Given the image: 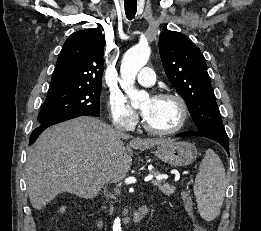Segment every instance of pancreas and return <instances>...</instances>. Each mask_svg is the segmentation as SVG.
<instances>
[{
	"instance_id": "1",
	"label": "pancreas",
	"mask_w": 261,
	"mask_h": 231,
	"mask_svg": "<svg viewBox=\"0 0 261 231\" xmlns=\"http://www.w3.org/2000/svg\"><path fill=\"white\" fill-rule=\"evenodd\" d=\"M151 173L154 175L160 174L158 171H152ZM155 185L158 186L159 190L166 196H171L176 190L174 186L169 185L168 183H165L163 181H156Z\"/></svg>"
}]
</instances>
